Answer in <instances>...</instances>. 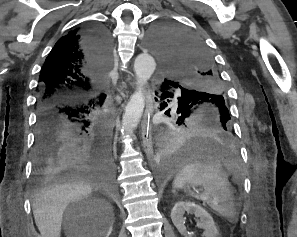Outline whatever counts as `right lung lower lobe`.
I'll use <instances>...</instances> for the list:
<instances>
[{"mask_svg":"<svg viewBox=\"0 0 297 237\" xmlns=\"http://www.w3.org/2000/svg\"><path fill=\"white\" fill-rule=\"evenodd\" d=\"M85 46L97 67L108 66L111 41L103 26L86 27ZM105 97L97 93L77 103L56 101L38 106L33 169L36 182L75 173L112 175L113 160L104 119L96 117Z\"/></svg>","mask_w":297,"mask_h":237,"instance_id":"right-lung-lower-lobe-1","label":"right lung lower lobe"}]
</instances>
